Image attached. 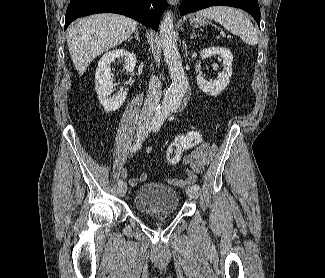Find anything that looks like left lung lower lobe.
I'll return each mask as SVG.
<instances>
[{
  "instance_id": "obj_1",
  "label": "left lung lower lobe",
  "mask_w": 325,
  "mask_h": 278,
  "mask_svg": "<svg viewBox=\"0 0 325 278\" xmlns=\"http://www.w3.org/2000/svg\"><path fill=\"white\" fill-rule=\"evenodd\" d=\"M225 5L241 8L250 13L260 28V8L257 0H183L180 14L185 15L210 6Z\"/></svg>"
}]
</instances>
